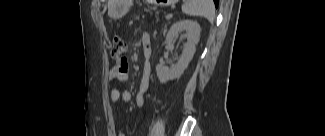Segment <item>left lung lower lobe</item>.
I'll return each mask as SVG.
<instances>
[{
	"mask_svg": "<svg viewBox=\"0 0 325 136\" xmlns=\"http://www.w3.org/2000/svg\"><path fill=\"white\" fill-rule=\"evenodd\" d=\"M214 1V3H215V6L217 7L218 6V2H219V0H213Z\"/></svg>",
	"mask_w": 325,
	"mask_h": 136,
	"instance_id": "left-lung-lower-lobe-1",
	"label": "left lung lower lobe"
}]
</instances>
